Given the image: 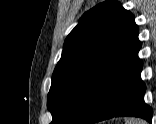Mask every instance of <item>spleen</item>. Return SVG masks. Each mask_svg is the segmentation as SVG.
<instances>
[{"label":"spleen","mask_w":156,"mask_h":124,"mask_svg":"<svg viewBox=\"0 0 156 124\" xmlns=\"http://www.w3.org/2000/svg\"><path fill=\"white\" fill-rule=\"evenodd\" d=\"M126 124H147L144 120L140 119H126Z\"/></svg>","instance_id":"obj_1"}]
</instances>
